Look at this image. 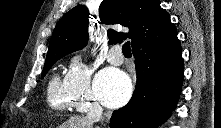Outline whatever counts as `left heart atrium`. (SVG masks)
<instances>
[{
    "mask_svg": "<svg viewBox=\"0 0 221 128\" xmlns=\"http://www.w3.org/2000/svg\"><path fill=\"white\" fill-rule=\"evenodd\" d=\"M94 92L103 105L118 107L129 100L132 84L129 77L122 71L106 68L97 75Z\"/></svg>",
    "mask_w": 221,
    "mask_h": 128,
    "instance_id": "1",
    "label": "left heart atrium"
}]
</instances>
